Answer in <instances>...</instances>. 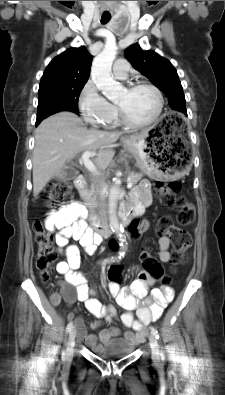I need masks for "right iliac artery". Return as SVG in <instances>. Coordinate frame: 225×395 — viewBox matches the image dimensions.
<instances>
[{"label": "right iliac artery", "instance_id": "1", "mask_svg": "<svg viewBox=\"0 0 225 395\" xmlns=\"http://www.w3.org/2000/svg\"><path fill=\"white\" fill-rule=\"evenodd\" d=\"M104 262L107 263L108 260H105ZM72 328H73V322H70V323L67 325L66 331H67V332H70Z\"/></svg>", "mask_w": 225, "mask_h": 395}]
</instances>
